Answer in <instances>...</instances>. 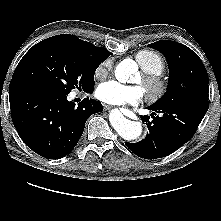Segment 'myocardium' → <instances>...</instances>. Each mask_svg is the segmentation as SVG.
Returning a JSON list of instances; mask_svg holds the SVG:
<instances>
[{"instance_id": "myocardium-1", "label": "myocardium", "mask_w": 221, "mask_h": 221, "mask_svg": "<svg viewBox=\"0 0 221 221\" xmlns=\"http://www.w3.org/2000/svg\"><path fill=\"white\" fill-rule=\"evenodd\" d=\"M147 98L151 102L160 100L167 92V83L158 74L143 72L140 81Z\"/></svg>"}]
</instances>
